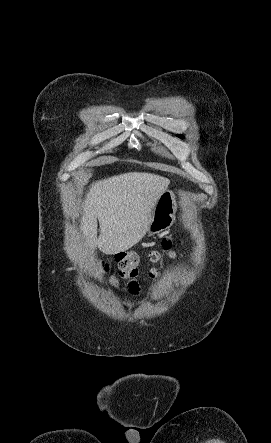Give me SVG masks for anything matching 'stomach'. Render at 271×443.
I'll list each match as a JSON object with an SVG mask.
<instances>
[{
	"label": "stomach",
	"instance_id": "stomach-1",
	"mask_svg": "<svg viewBox=\"0 0 271 443\" xmlns=\"http://www.w3.org/2000/svg\"><path fill=\"white\" fill-rule=\"evenodd\" d=\"M176 212V196L174 192H171V190H166V192L160 194L155 204L147 233H149V235H153V233H160V231L169 229V227H171V225H173L175 222Z\"/></svg>",
	"mask_w": 271,
	"mask_h": 443
}]
</instances>
